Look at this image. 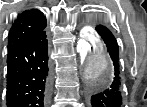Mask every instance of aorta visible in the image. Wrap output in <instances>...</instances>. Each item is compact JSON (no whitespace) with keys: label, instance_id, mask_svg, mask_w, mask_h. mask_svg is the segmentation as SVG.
Wrapping results in <instances>:
<instances>
[{"label":"aorta","instance_id":"1","mask_svg":"<svg viewBox=\"0 0 147 107\" xmlns=\"http://www.w3.org/2000/svg\"><path fill=\"white\" fill-rule=\"evenodd\" d=\"M77 50L83 61V74L88 85L106 84L112 78V61L104 43L92 29L83 30L77 42Z\"/></svg>","mask_w":147,"mask_h":107}]
</instances>
